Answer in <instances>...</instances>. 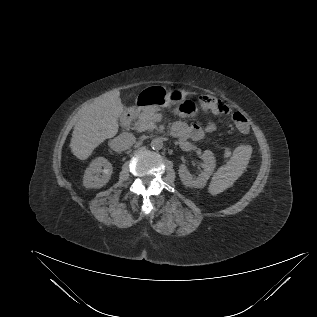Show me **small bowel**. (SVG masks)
Masks as SVG:
<instances>
[{
	"label": "small bowel",
	"mask_w": 317,
	"mask_h": 317,
	"mask_svg": "<svg viewBox=\"0 0 317 317\" xmlns=\"http://www.w3.org/2000/svg\"><path fill=\"white\" fill-rule=\"evenodd\" d=\"M180 115L182 117L186 116L185 113H181ZM242 120L247 121L244 117ZM214 129L215 125L212 122H207L204 126H200L196 123H187L184 120H178L172 126V134L181 141H198ZM239 130L242 133H247L249 131V125L245 123V126Z\"/></svg>",
	"instance_id": "small-bowel-1"
}]
</instances>
